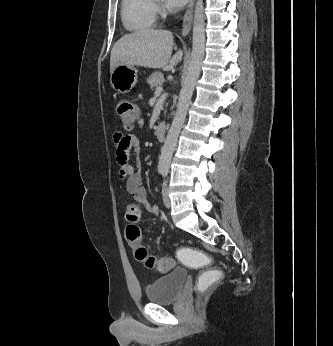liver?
<instances>
[{
    "instance_id": "1",
    "label": "liver",
    "mask_w": 333,
    "mask_h": 346,
    "mask_svg": "<svg viewBox=\"0 0 333 346\" xmlns=\"http://www.w3.org/2000/svg\"><path fill=\"white\" fill-rule=\"evenodd\" d=\"M174 37L170 31L146 29L121 37L110 55V72L119 65L171 70L183 58L179 50L172 55Z\"/></svg>"
}]
</instances>
